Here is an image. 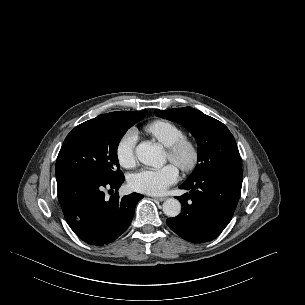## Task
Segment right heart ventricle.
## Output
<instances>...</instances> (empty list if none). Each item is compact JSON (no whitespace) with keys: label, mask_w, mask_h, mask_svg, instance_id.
<instances>
[{"label":"right heart ventricle","mask_w":305,"mask_h":305,"mask_svg":"<svg viewBox=\"0 0 305 305\" xmlns=\"http://www.w3.org/2000/svg\"><path fill=\"white\" fill-rule=\"evenodd\" d=\"M145 131L165 147L173 145L184 137L181 128L165 120H155L148 123L145 126Z\"/></svg>","instance_id":"1"}]
</instances>
